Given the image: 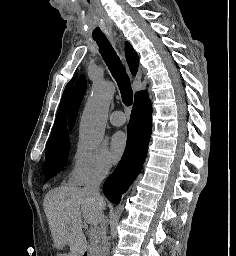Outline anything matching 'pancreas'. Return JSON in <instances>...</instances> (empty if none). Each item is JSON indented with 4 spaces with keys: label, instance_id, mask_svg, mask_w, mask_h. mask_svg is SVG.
I'll return each instance as SVG.
<instances>
[{
    "label": "pancreas",
    "instance_id": "pancreas-1",
    "mask_svg": "<svg viewBox=\"0 0 236 256\" xmlns=\"http://www.w3.org/2000/svg\"><path fill=\"white\" fill-rule=\"evenodd\" d=\"M102 230L101 226H94L93 234L90 232V246L92 249V254H100L101 253V246H100V236Z\"/></svg>",
    "mask_w": 236,
    "mask_h": 256
}]
</instances>
